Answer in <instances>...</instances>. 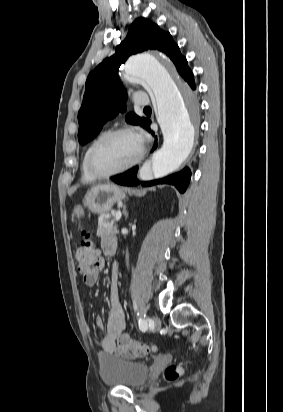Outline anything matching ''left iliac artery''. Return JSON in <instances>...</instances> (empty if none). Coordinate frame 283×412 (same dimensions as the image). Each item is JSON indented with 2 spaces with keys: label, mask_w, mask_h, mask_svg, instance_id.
Segmentation results:
<instances>
[{
  "label": "left iliac artery",
  "mask_w": 283,
  "mask_h": 412,
  "mask_svg": "<svg viewBox=\"0 0 283 412\" xmlns=\"http://www.w3.org/2000/svg\"><path fill=\"white\" fill-rule=\"evenodd\" d=\"M134 310H137L136 302H134ZM137 315L139 316V313H137ZM138 325H139V329L141 331L145 332L147 330L148 326H147V321L146 320H144L142 318H139L138 319Z\"/></svg>",
  "instance_id": "1"
}]
</instances>
